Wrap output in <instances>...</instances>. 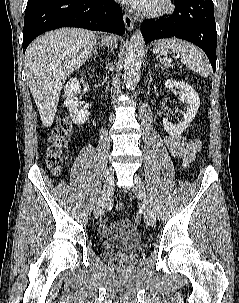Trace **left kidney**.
Masks as SVG:
<instances>
[{
	"mask_svg": "<svg viewBox=\"0 0 239 303\" xmlns=\"http://www.w3.org/2000/svg\"><path fill=\"white\" fill-rule=\"evenodd\" d=\"M166 88L176 87L180 90V102L187 104V109L183 114V119L178 124H173L169 119H163V126L166 132L171 135H180L188 128L197 114L200 98L198 93L188 84L183 81H174L168 79L164 83Z\"/></svg>",
	"mask_w": 239,
	"mask_h": 303,
	"instance_id": "obj_1",
	"label": "left kidney"
}]
</instances>
